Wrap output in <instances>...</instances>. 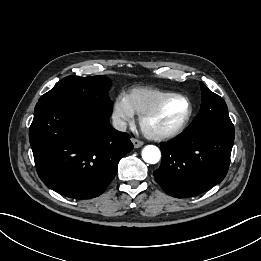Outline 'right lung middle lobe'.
I'll return each instance as SVG.
<instances>
[{"label": "right lung middle lobe", "mask_w": 261, "mask_h": 261, "mask_svg": "<svg viewBox=\"0 0 261 261\" xmlns=\"http://www.w3.org/2000/svg\"><path fill=\"white\" fill-rule=\"evenodd\" d=\"M110 88L111 80L104 76L86 78L68 76L42 95L38 102L92 107L110 116L113 106L108 96Z\"/></svg>", "instance_id": "dd1d6c3e"}]
</instances>
